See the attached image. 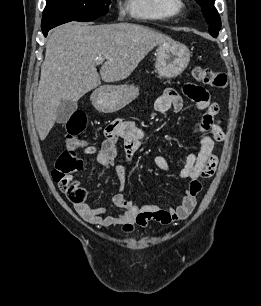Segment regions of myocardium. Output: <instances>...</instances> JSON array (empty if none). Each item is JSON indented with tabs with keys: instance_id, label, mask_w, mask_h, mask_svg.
I'll return each instance as SVG.
<instances>
[{
	"instance_id": "f54148a6",
	"label": "myocardium",
	"mask_w": 261,
	"mask_h": 306,
	"mask_svg": "<svg viewBox=\"0 0 261 306\" xmlns=\"http://www.w3.org/2000/svg\"><path fill=\"white\" fill-rule=\"evenodd\" d=\"M167 8L171 14H177L181 12L185 6L183 0H166Z\"/></svg>"
}]
</instances>
